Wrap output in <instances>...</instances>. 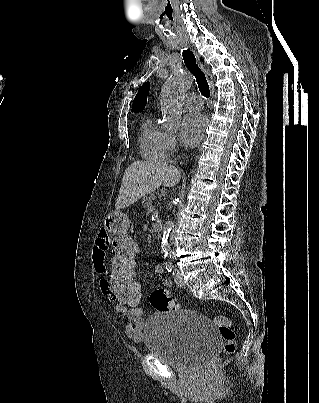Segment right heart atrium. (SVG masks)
<instances>
[{"mask_svg": "<svg viewBox=\"0 0 319 403\" xmlns=\"http://www.w3.org/2000/svg\"><path fill=\"white\" fill-rule=\"evenodd\" d=\"M178 149V139L173 133H167L166 135V150L167 153L172 154Z\"/></svg>", "mask_w": 319, "mask_h": 403, "instance_id": "obj_1", "label": "right heart atrium"}]
</instances>
